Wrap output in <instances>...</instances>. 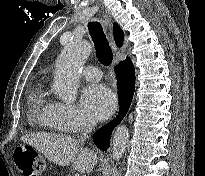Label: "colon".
I'll list each match as a JSON object with an SVG mask.
<instances>
[{
	"mask_svg": "<svg viewBox=\"0 0 205 176\" xmlns=\"http://www.w3.org/2000/svg\"><path fill=\"white\" fill-rule=\"evenodd\" d=\"M14 162L23 176H40L44 171V160L30 148L18 147L14 151Z\"/></svg>",
	"mask_w": 205,
	"mask_h": 176,
	"instance_id": "5ec220e1",
	"label": "colon"
}]
</instances>
